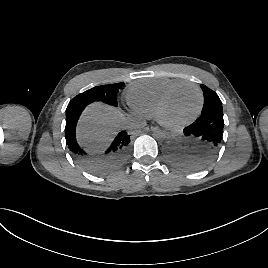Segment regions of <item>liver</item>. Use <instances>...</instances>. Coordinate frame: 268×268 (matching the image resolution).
<instances>
[{"label":"liver","instance_id":"1","mask_svg":"<svg viewBox=\"0 0 268 268\" xmlns=\"http://www.w3.org/2000/svg\"><path fill=\"white\" fill-rule=\"evenodd\" d=\"M124 120V115L118 109L102 103H93L81 117L78 138L84 144L107 142L124 127Z\"/></svg>","mask_w":268,"mask_h":268}]
</instances>
